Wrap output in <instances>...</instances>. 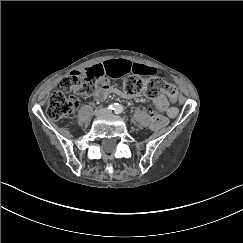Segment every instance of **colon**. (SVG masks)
Listing matches in <instances>:
<instances>
[{
	"label": "colon",
	"instance_id": "obj_1",
	"mask_svg": "<svg viewBox=\"0 0 243 243\" xmlns=\"http://www.w3.org/2000/svg\"><path fill=\"white\" fill-rule=\"evenodd\" d=\"M59 86L64 90H72L77 94L88 96L94 94L100 88L109 87V83L103 78V75L74 71L64 77ZM122 92L127 96L143 94L149 98H157L163 95L172 98L177 94L176 87L161 78H141L138 76L126 78L123 82ZM77 107L78 99L76 96L66 95L62 91H55L50 96L46 114L51 120H59L72 115ZM168 123L166 117L153 113L151 123L153 129H161L167 126Z\"/></svg>",
	"mask_w": 243,
	"mask_h": 243
}]
</instances>
